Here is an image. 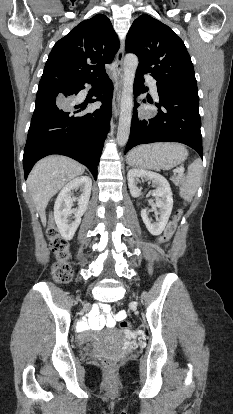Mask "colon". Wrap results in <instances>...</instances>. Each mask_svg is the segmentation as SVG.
Listing matches in <instances>:
<instances>
[{
  "label": "colon",
  "instance_id": "5ec220e1",
  "mask_svg": "<svg viewBox=\"0 0 233 414\" xmlns=\"http://www.w3.org/2000/svg\"><path fill=\"white\" fill-rule=\"evenodd\" d=\"M182 215V210L178 209L173 216V219L168 223L164 233L158 238L157 243L162 244L168 241L175 229L178 221ZM47 237L50 242V248L54 255L56 256L57 263L53 266L52 274L54 279L57 282L66 283L71 280L72 270L70 266L66 263L68 259V244L67 242L59 235L57 229L51 225L47 230ZM120 328L123 331H130L131 324L128 321H121ZM101 364L106 370H112L115 366V362L110 358H102Z\"/></svg>",
  "mask_w": 233,
  "mask_h": 414
}]
</instances>
